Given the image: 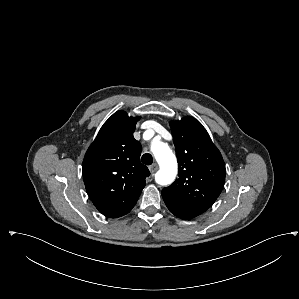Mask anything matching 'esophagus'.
Here are the masks:
<instances>
[{"instance_id": "obj_1", "label": "esophagus", "mask_w": 299, "mask_h": 299, "mask_svg": "<svg viewBox=\"0 0 299 299\" xmlns=\"http://www.w3.org/2000/svg\"><path fill=\"white\" fill-rule=\"evenodd\" d=\"M157 169H158V165L156 163L153 164V165H151V166H149V170H150L151 173L156 172Z\"/></svg>"}]
</instances>
